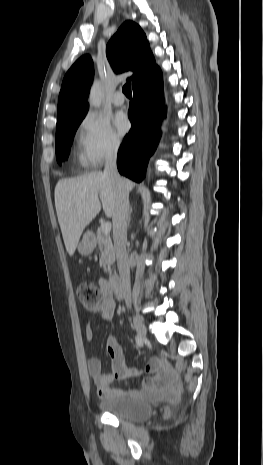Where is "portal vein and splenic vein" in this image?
I'll use <instances>...</instances> for the list:
<instances>
[{"mask_svg": "<svg viewBox=\"0 0 263 465\" xmlns=\"http://www.w3.org/2000/svg\"><path fill=\"white\" fill-rule=\"evenodd\" d=\"M101 230L105 234H108L111 231V224L108 222L102 223L101 224Z\"/></svg>", "mask_w": 263, "mask_h": 465, "instance_id": "1", "label": "portal vein and splenic vein"}]
</instances>
